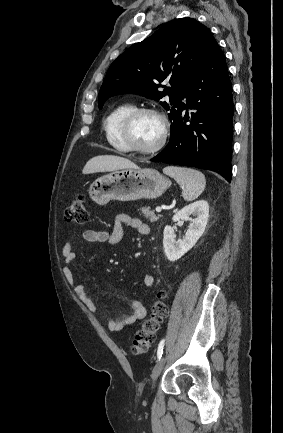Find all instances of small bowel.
I'll use <instances>...</instances> for the list:
<instances>
[{"instance_id": "small-bowel-1", "label": "small bowel", "mask_w": 283, "mask_h": 433, "mask_svg": "<svg viewBox=\"0 0 283 433\" xmlns=\"http://www.w3.org/2000/svg\"><path fill=\"white\" fill-rule=\"evenodd\" d=\"M124 226H128L137 230L142 235H147L150 228L147 224L143 223L140 219L130 216L128 214H118L115 217L114 225L111 231L106 229H86L82 232V238L90 243H109L110 245L119 244L124 235ZM62 257L64 261L63 274L68 284L73 288L75 295L91 312H97L98 308L92 299L87 295L85 287L76 282L74 273L72 271V264L76 258L70 241H66L62 248ZM145 287H152L154 284V277L151 274L144 275L142 279ZM131 313L123 316L120 319H112L104 316L108 330L110 332H120L127 326L134 324L136 321L143 319L146 316V308L139 300H132L130 302Z\"/></svg>"}]
</instances>
